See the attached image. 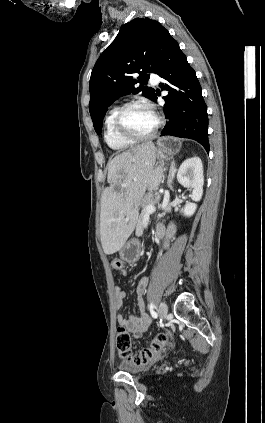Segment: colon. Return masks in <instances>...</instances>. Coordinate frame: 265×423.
<instances>
[{"instance_id": "1", "label": "colon", "mask_w": 265, "mask_h": 423, "mask_svg": "<svg viewBox=\"0 0 265 423\" xmlns=\"http://www.w3.org/2000/svg\"><path fill=\"white\" fill-rule=\"evenodd\" d=\"M114 271L120 272L124 268V262L115 258L111 262ZM169 336L165 333L156 335L147 347L142 348L136 353L132 352L131 337L125 327H119L117 330L116 346L121 357L126 358L133 366H144L160 355L163 349L168 345Z\"/></svg>"}]
</instances>
